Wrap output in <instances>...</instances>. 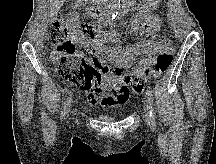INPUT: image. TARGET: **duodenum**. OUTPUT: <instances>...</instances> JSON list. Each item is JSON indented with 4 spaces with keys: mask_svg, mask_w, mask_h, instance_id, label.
Segmentation results:
<instances>
[{
    "mask_svg": "<svg viewBox=\"0 0 216 164\" xmlns=\"http://www.w3.org/2000/svg\"><path fill=\"white\" fill-rule=\"evenodd\" d=\"M132 0H125V3H131ZM131 4H124L125 7L130 6ZM96 9L98 10L100 16H99V21L100 22H105L107 18L109 17V10L107 6L103 3L98 2L95 4Z\"/></svg>",
    "mask_w": 216,
    "mask_h": 164,
    "instance_id": "410a0bca",
    "label": "duodenum"
}]
</instances>
